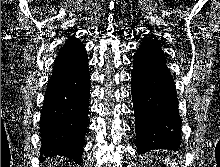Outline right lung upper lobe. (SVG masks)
<instances>
[{"label": "right lung upper lobe", "mask_w": 220, "mask_h": 167, "mask_svg": "<svg viewBox=\"0 0 220 167\" xmlns=\"http://www.w3.org/2000/svg\"><path fill=\"white\" fill-rule=\"evenodd\" d=\"M87 60L88 58L83 44L77 38L68 34L65 45L59 50L54 71L79 67Z\"/></svg>", "instance_id": "obj_1"}]
</instances>
